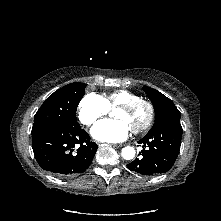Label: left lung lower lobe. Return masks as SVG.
I'll return each mask as SVG.
<instances>
[{"instance_id": "1", "label": "left lung lower lobe", "mask_w": 221, "mask_h": 221, "mask_svg": "<svg viewBox=\"0 0 221 221\" xmlns=\"http://www.w3.org/2000/svg\"><path fill=\"white\" fill-rule=\"evenodd\" d=\"M181 126H162L149 131L139 144L143 150L127 167L142 175H155L167 172L174 164L181 144Z\"/></svg>"}]
</instances>
